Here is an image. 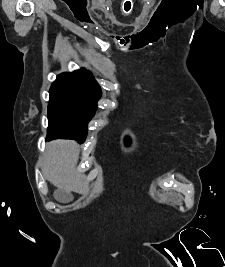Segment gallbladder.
<instances>
[{
    "mask_svg": "<svg viewBox=\"0 0 225 267\" xmlns=\"http://www.w3.org/2000/svg\"><path fill=\"white\" fill-rule=\"evenodd\" d=\"M54 196L58 201L62 203H67L73 200V196L70 193L63 190H56L54 192Z\"/></svg>",
    "mask_w": 225,
    "mask_h": 267,
    "instance_id": "bac80fb5",
    "label": "gallbladder"
}]
</instances>
